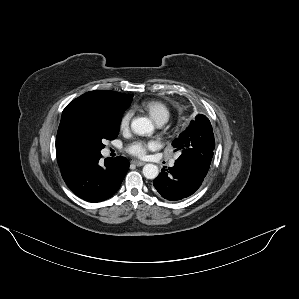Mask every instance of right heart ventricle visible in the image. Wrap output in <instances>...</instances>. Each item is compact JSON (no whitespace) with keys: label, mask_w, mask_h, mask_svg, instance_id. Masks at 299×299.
Returning a JSON list of instances; mask_svg holds the SVG:
<instances>
[{"label":"right heart ventricle","mask_w":299,"mask_h":299,"mask_svg":"<svg viewBox=\"0 0 299 299\" xmlns=\"http://www.w3.org/2000/svg\"><path fill=\"white\" fill-rule=\"evenodd\" d=\"M144 110L155 123H165L170 117V109L167 104L159 100H147L141 103Z\"/></svg>","instance_id":"right-heart-ventricle-1"}]
</instances>
